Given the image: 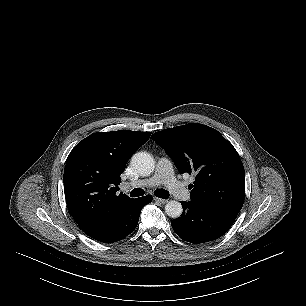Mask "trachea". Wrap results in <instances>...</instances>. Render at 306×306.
Instances as JSON below:
<instances>
[{
  "label": "trachea",
  "instance_id": "1",
  "mask_svg": "<svg viewBox=\"0 0 306 306\" xmlns=\"http://www.w3.org/2000/svg\"><path fill=\"white\" fill-rule=\"evenodd\" d=\"M154 194L159 197V198H168L169 197V192L165 189H156L154 191ZM144 195V190L140 188H135L130 192L131 197H139Z\"/></svg>",
  "mask_w": 306,
  "mask_h": 306
}]
</instances>
